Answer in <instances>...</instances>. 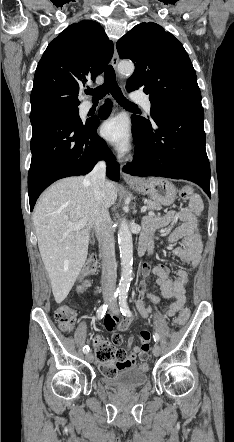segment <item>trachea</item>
<instances>
[{
  "label": "trachea",
  "mask_w": 234,
  "mask_h": 442,
  "mask_svg": "<svg viewBox=\"0 0 234 442\" xmlns=\"http://www.w3.org/2000/svg\"><path fill=\"white\" fill-rule=\"evenodd\" d=\"M109 92L121 106L131 108L137 107L136 104L130 102L123 96V93L116 82L114 68L111 65H108L104 72V83L95 89L86 90V94L92 95L93 100H100Z\"/></svg>",
  "instance_id": "1"
}]
</instances>
